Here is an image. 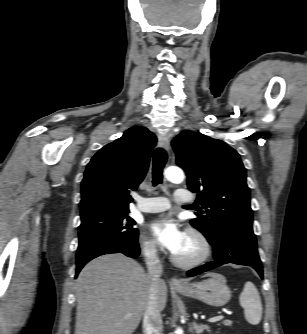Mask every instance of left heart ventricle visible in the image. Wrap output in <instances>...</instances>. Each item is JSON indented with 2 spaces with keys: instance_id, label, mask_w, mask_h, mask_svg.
<instances>
[{
  "instance_id": "1",
  "label": "left heart ventricle",
  "mask_w": 307,
  "mask_h": 334,
  "mask_svg": "<svg viewBox=\"0 0 307 334\" xmlns=\"http://www.w3.org/2000/svg\"><path fill=\"white\" fill-rule=\"evenodd\" d=\"M199 252V244L197 240L189 235H186L183 246L175 252L177 256L183 259H190L196 256Z\"/></svg>"
}]
</instances>
